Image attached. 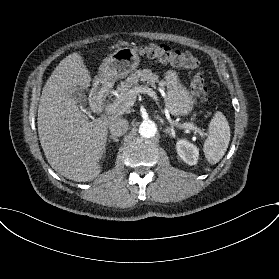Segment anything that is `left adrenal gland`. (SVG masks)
<instances>
[{"mask_svg": "<svg viewBox=\"0 0 279 279\" xmlns=\"http://www.w3.org/2000/svg\"><path fill=\"white\" fill-rule=\"evenodd\" d=\"M163 133H165L166 135H172L170 128H166L162 130Z\"/></svg>", "mask_w": 279, "mask_h": 279, "instance_id": "1", "label": "left adrenal gland"}]
</instances>
